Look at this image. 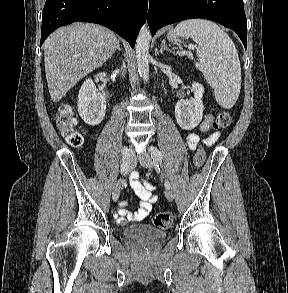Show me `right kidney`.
Listing matches in <instances>:
<instances>
[{
    "instance_id": "obj_1",
    "label": "right kidney",
    "mask_w": 288,
    "mask_h": 293,
    "mask_svg": "<svg viewBox=\"0 0 288 293\" xmlns=\"http://www.w3.org/2000/svg\"><path fill=\"white\" fill-rule=\"evenodd\" d=\"M78 112L85 123L95 126L102 122L106 112V100L97 93L92 79L82 84L78 94Z\"/></svg>"
}]
</instances>
